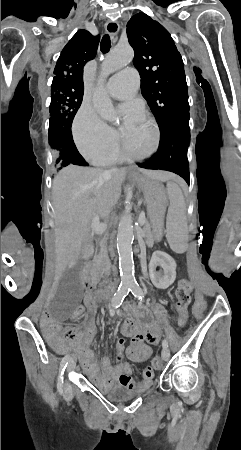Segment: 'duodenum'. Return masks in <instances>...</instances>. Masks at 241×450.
<instances>
[{
    "label": "duodenum",
    "mask_w": 241,
    "mask_h": 450,
    "mask_svg": "<svg viewBox=\"0 0 241 450\" xmlns=\"http://www.w3.org/2000/svg\"><path fill=\"white\" fill-rule=\"evenodd\" d=\"M82 280H83V283L86 284L87 286H92L93 283H94L92 274H91V272L89 270L83 271V273H82ZM113 288H114V284L113 283L107 284L104 287V289H103V292H102L103 296L104 297L110 296L112 294V292H113Z\"/></svg>",
    "instance_id": "obj_1"
}]
</instances>
